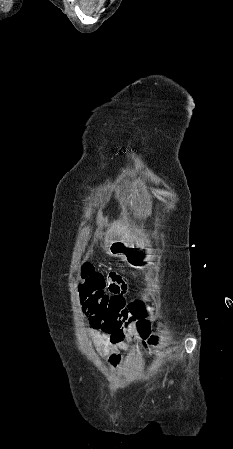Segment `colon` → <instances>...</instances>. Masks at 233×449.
Returning a JSON list of instances; mask_svg holds the SVG:
<instances>
[{
	"label": "colon",
	"mask_w": 233,
	"mask_h": 449,
	"mask_svg": "<svg viewBox=\"0 0 233 449\" xmlns=\"http://www.w3.org/2000/svg\"><path fill=\"white\" fill-rule=\"evenodd\" d=\"M80 304L89 314L93 328H126L133 334H149L152 320L145 319L147 312L142 301H124L121 296L107 295V276L97 271L89 262L81 267ZM132 327V328H131ZM142 347H147L146 336H141ZM156 339V338H155Z\"/></svg>",
	"instance_id": "1"
}]
</instances>
